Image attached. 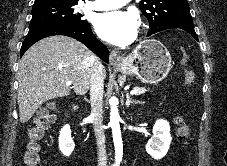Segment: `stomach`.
<instances>
[{
  "mask_svg": "<svg viewBox=\"0 0 227 166\" xmlns=\"http://www.w3.org/2000/svg\"><path fill=\"white\" fill-rule=\"evenodd\" d=\"M171 62L167 48L158 40L148 39L141 42L115 67L122 74L136 76L144 83L155 84L168 75Z\"/></svg>",
  "mask_w": 227,
  "mask_h": 166,
  "instance_id": "stomach-1",
  "label": "stomach"
}]
</instances>
